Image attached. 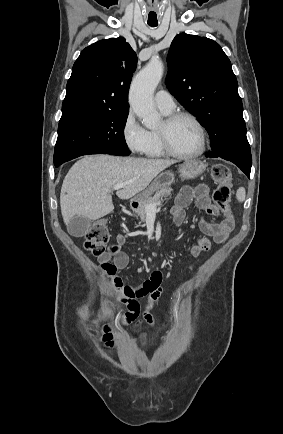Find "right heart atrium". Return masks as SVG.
<instances>
[{"instance_id":"1","label":"right heart atrium","mask_w":283,"mask_h":434,"mask_svg":"<svg viewBox=\"0 0 283 434\" xmlns=\"http://www.w3.org/2000/svg\"><path fill=\"white\" fill-rule=\"evenodd\" d=\"M121 134L130 152L135 154L144 153L148 143V130L140 124L131 109L128 110L124 118Z\"/></svg>"}]
</instances>
